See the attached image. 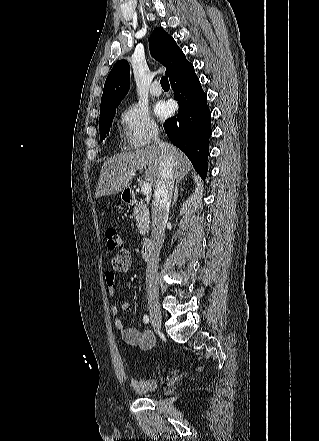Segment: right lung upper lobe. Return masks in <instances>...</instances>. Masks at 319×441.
<instances>
[{
	"instance_id": "1",
	"label": "right lung upper lobe",
	"mask_w": 319,
	"mask_h": 441,
	"mask_svg": "<svg viewBox=\"0 0 319 441\" xmlns=\"http://www.w3.org/2000/svg\"><path fill=\"white\" fill-rule=\"evenodd\" d=\"M149 48L151 55L166 67L165 75L169 79L190 64L175 40L162 28H156L152 32ZM129 85V63L126 60L117 61L105 81L100 110L118 106L127 94Z\"/></svg>"
}]
</instances>
